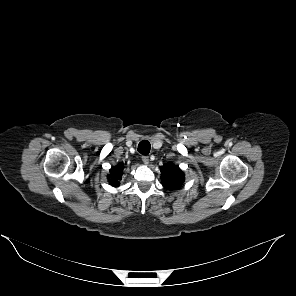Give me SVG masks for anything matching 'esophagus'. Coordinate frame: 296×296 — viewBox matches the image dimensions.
<instances>
[{"mask_svg": "<svg viewBox=\"0 0 296 296\" xmlns=\"http://www.w3.org/2000/svg\"><path fill=\"white\" fill-rule=\"evenodd\" d=\"M142 161L145 165H147L149 163V157L146 155L142 156Z\"/></svg>", "mask_w": 296, "mask_h": 296, "instance_id": "esophagus-1", "label": "esophagus"}]
</instances>
